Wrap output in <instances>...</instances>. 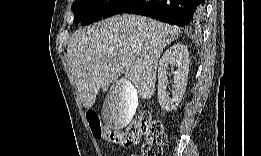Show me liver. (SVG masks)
Segmentation results:
<instances>
[{
	"instance_id": "liver-1",
	"label": "liver",
	"mask_w": 261,
	"mask_h": 156,
	"mask_svg": "<svg viewBox=\"0 0 261 156\" xmlns=\"http://www.w3.org/2000/svg\"><path fill=\"white\" fill-rule=\"evenodd\" d=\"M179 35L175 26L131 14L78 29L70 39L67 56L83 106L91 109L100 89L114 84L122 74L140 97L151 98L158 60L164 48ZM122 62L131 66L125 68ZM117 95L121 101L125 99L120 88H114L108 97L113 99ZM127 102L130 113L118 119L115 129L127 126L133 117L135 105L129 99Z\"/></svg>"
}]
</instances>
